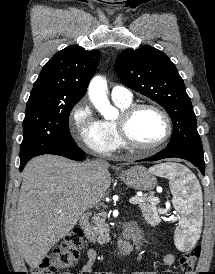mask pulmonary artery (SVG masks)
<instances>
[{"label":"pulmonary artery","instance_id":"1","mask_svg":"<svg viewBox=\"0 0 215 274\" xmlns=\"http://www.w3.org/2000/svg\"><path fill=\"white\" fill-rule=\"evenodd\" d=\"M111 97L113 100L123 101V102L132 100L131 92L127 88L119 85H116L112 88Z\"/></svg>","mask_w":215,"mask_h":274}]
</instances>
